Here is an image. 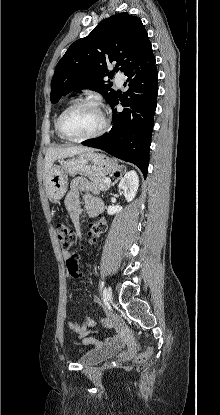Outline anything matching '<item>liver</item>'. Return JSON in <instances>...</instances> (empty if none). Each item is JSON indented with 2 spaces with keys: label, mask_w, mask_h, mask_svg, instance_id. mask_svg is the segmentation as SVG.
I'll list each match as a JSON object with an SVG mask.
<instances>
[{
  "label": "liver",
  "mask_w": 220,
  "mask_h": 415,
  "mask_svg": "<svg viewBox=\"0 0 220 415\" xmlns=\"http://www.w3.org/2000/svg\"><path fill=\"white\" fill-rule=\"evenodd\" d=\"M88 151H94L91 148L84 147V146H73V147H65V148H49L45 155V177L49 170L52 168L53 163L57 159H63L66 157H71L76 154H81Z\"/></svg>",
  "instance_id": "1"
}]
</instances>
